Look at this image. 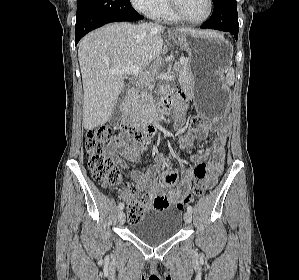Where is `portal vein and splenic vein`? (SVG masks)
<instances>
[{
	"instance_id": "18ae733b",
	"label": "portal vein and splenic vein",
	"mask_w": 299,
	"mask_h": 280,
	"mask_svg": "<svg viewBox=\"0 0 299 280\" xmlns=\"http://www.w3.org/2000/svg\"><path fill=\"white\" fill-rule=\"evenodd\" d=\"M181 64H185L186 60L181 59ZM141 72V68L133 65V66H128L122 69H110L109 73L114 74V75H139Z\"/></svg>"
}]
</instances>
